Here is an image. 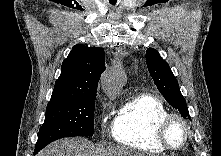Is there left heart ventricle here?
Returning <instances> with one entry per match:
<instances>
[{
	"label": "left heart ventricle",
	"instance_id": "b2bd125f",
	"mask_svg": "<svg viewBox=\"0 0 221 156\" xmlns=\"http://www.w3.org/2000/svg\"><path fill=\"white\" fill-rule=\"evenodd\" d=\"M185 133L182 124L174 120L170 123L167 129V139L174 147H179L184 141Z\"/></svg>",
	"mask_w": 221,
	"mask_h": 156
}]
</instances>
